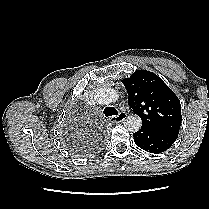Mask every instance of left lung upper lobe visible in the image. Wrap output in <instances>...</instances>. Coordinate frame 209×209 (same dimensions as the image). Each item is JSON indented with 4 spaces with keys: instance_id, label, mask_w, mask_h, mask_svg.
I'll return each mask as SVG.
<instances>
[{
    "instance_id": "1",
    "label": "left lung upper lobe",
    "mask_w": 209,
    "mask_h": 209,
    "mask_svg": "<svg viewBox=\"0 0 209 209\" xmlns=\"http://www.w3.org/2000/svg\"><path fill=\"white\" fill-rule=\"evenodd\" d=\"M128 104L142 119V126L178 137L181 106L175 93L156 74L139 70L122 80Z\"/></svg>"
}]
</instances>
